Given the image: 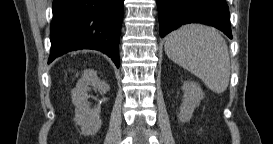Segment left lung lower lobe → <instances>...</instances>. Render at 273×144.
<instances>
[{
    "instance_id": "obj_1",
    "label": "left lung lower lobe",
    "mask_w": 273,
    "mask_h": 144,
    "mask_svg": "<svg viewBox=\"0 0 273 144\" xmlns=\"http://www.w3.org/2000/svg\"><path fill=\"white\" fill-rule=\"evenodd\" d=\"M157 5L161 37L181 25L202 23L214 26L232 38L225 0H157Z\"/></svg>"
}]
</instances>
